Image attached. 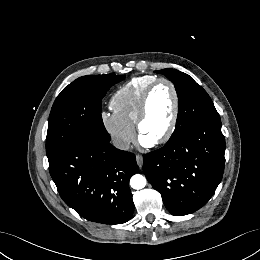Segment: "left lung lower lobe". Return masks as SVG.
<instances>
[{
  "label": "left lung lower lobe",
  "mask_w": 260,
  "mask_h": 260,
  "mask_svg": "<svg viewBox=\"0 0 260 260\" xmlns=\"http://www.w3.org/2000/svg\"><path fill=\"white\" fill-rule=\"evenodd\" d=\"M224 152L220 118L202 120L146 154L143 169L168 211L187 215L205 205L215 192L223 176Z\"/></svg>",
  "instance_id": "1"
}]
</instances>
